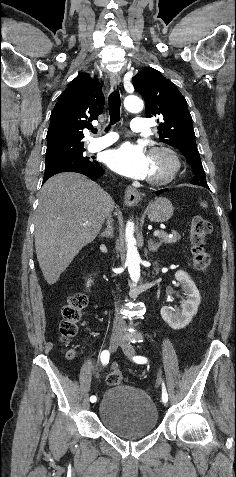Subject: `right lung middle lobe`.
I'll list each match as a JSON object with an SVG mask.
<instances>
[{"mask_svg":"<svg viewBox=\"0 0 236 477\" xmlns=\"http://www.w3.org/2000/svg\"><path fill=\"white\" fill-rule=\"evenodd\" d=\"M85 150H82L74 155L68 156L66 158L46 163L45 164V174L52 172H62L74 168H93L98 164L97 161L90 160L89 157H86L83 153Z\"/></svg>","mask_w":236,"mask_h":477,"instance_id":"dd1d6c3e","label":"right lung middle lobe"}]
</instances>
